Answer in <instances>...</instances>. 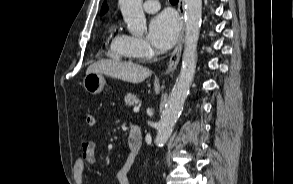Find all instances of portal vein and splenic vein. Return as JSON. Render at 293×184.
I'll use <instances>...</instances> for the list:
<instances>
[{"label": "portal vein and splenic vein", "mask_w": 293, "mask_h": 184, "mask_svg": "<svg viewBox=\"0 0 293 184\" xmlns=\"http://www.w3.org/2000/svg\"><path fill=\"white\" fill-rule=\"evenodd\" d=\"M133 111H134L135 113H138V112H139V107H134V108H133Z\"/></svg>", "instance_id": "obj_1"}]
</instances>
